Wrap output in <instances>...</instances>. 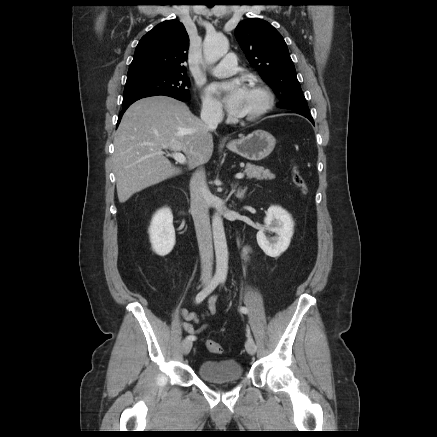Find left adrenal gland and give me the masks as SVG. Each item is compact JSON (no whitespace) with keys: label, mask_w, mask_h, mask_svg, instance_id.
Listing matches in <instances>:
<instances>
[{"label":"left adrenal gland","mask_w":437,"mask_h":437,"mask_svg":"<svg viewBox=\"0 0 437 437\" xmlns=\"http://www.w3.org/2000/svg\"><path fill=\"white\" fill-rule=\"evenodd\" d=\"M236 187H237V185H235V186H233V192H235L236 190ZM246 191H247V187H244V189H238L237 190V192L235 193L236 194V197L237 198H239V199H243L244 198V195H245V193H246Z\"/></svg>","instance_id":"obj_1"}]
</instances>
